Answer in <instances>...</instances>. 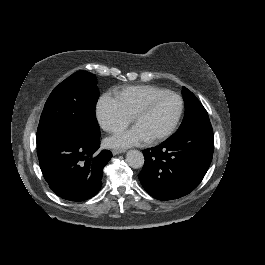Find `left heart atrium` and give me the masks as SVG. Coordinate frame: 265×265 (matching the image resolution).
<instances>
[{"mask_svg": "<svg viewBox=\"0 0 265 265\" xmlns=\"http://www.w3.org/2000/svg\"><path fill=\"white\" fill-rule=\"evenodd\" d=\"M149 140V136L144 129L136 125L128 130L117 132L107 139L109 146L114 148H125L139 145Z\"/></svg>", "mask_w": 265, "mask_h": 265, "instance_id": "left-heart-atrium-1", "label": "left heart atrium"}]
</instances>
